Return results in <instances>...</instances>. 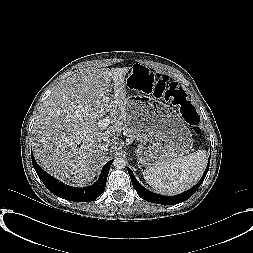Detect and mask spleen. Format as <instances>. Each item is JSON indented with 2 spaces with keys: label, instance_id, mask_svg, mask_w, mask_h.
<instances>
[{
  "label": "spleen",
  "instance_id": "1",
  "mask_svg": "<svg viewBox=\"0 0 253 253\" xmlns=\"http://www.w3.org/2000/svg\"><path fill=\"white\" fill-rule=\"evenodd\" d=\"M207 159L206 151L198 150L150 166L143 171V177L156 192L174 195L189 189L200 179Z\"/></svg>",
  "mask_w": 253,
  "mask_h": 253
}]
</instances>
